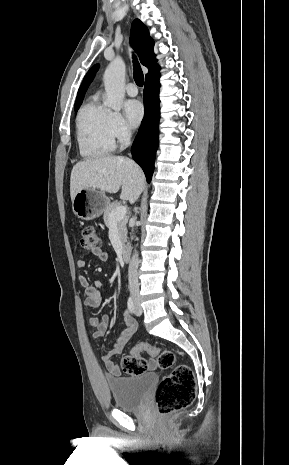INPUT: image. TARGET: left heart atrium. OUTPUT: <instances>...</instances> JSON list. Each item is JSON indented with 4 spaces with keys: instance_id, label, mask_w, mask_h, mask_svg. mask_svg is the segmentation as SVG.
<instances>
[{
    "instance_id": "left-heart-atrium-1",
    "label": "left heart atrium",
    "mask_w": 289,
    "mask_h": 465,
    "mask_svg": "<svg viewBox=\"0 0 289 465\" xmlns=\"http://www.w3.org/2000/svg\"><path fill=\"white\" fill-rule=\"evenodd\" d=\"M124 110L129 123L136 127L144 117V107L138 100H128L125 102Z\"/></svg>"
}]
</instances>
